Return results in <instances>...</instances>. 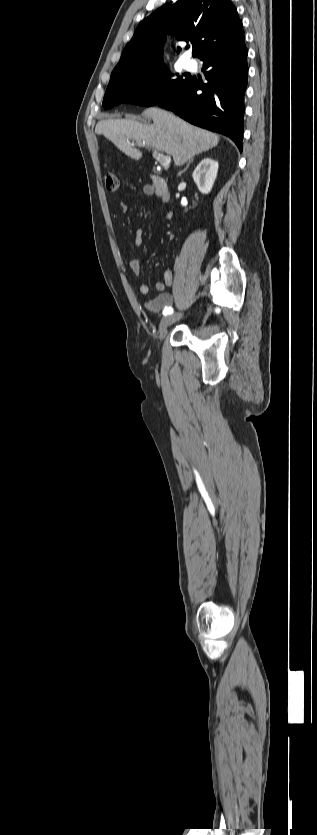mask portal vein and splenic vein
I'll use <instances>...</instances> for the list:
<instances>
[{
  "mask_svg": "<svg viewBox=\"0 0 317 835\" xmlns=\"http://www.w3.org/2000/svg\"><path fill=\"white\" fill-rule=\"evenodd\" d=\"M141 146H145V145H141ZM153 157L156 160H158L163 167H167L171 163V157L170 156H168V155L164 156L163 154L159 153L157 150L153 151Z\"/></svg>",
  "mask_w": 317,
  "mask_h": 835,
  "instance_id": "18ae733b",
  "label": "portal vein and splenic vein"
}]
</instances>
